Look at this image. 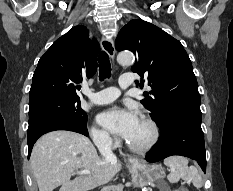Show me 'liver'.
<instances>
[{
    "label": "liver",
    "instance_id": "1",
    "mask_svg": "<svg viewBox=\"0 0 233 191\" xmlns=\"http://www.w3.org/2000/svg\"><path fill=\"white\" fill-rule=\"evenodd\" d=\"M31 168L39 191H89L112 181L122 165L100 159L91 141L76 132L56 130L43 135L34 145ZM77 170L90 174L71 176Z\"/></svg>",
    "mask_w": 233,
    "mask_h": 191
}]
</instances>
